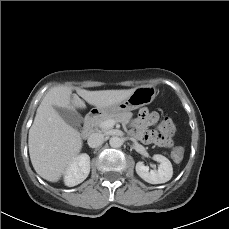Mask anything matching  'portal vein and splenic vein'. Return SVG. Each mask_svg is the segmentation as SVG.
Wrapping results in <instances>:
<instances>
[{"label": "portal vein and splenic vein", "mask_w": 229, "mask_h": 229, "mask_svg": "<svg viewBox=\"0 0 229 229\" xmlns=\"http://www.w3.org/2000/svg\"><path fill=\"white\" fill-rule=\"evenodd\" d=\"M116 124L115 120H106L100 124V127L103 129H110L113 128V126Z\"/></svg>", "instance_id": "1"}]
</instances>
